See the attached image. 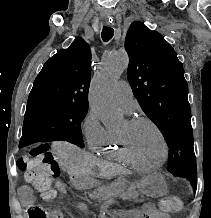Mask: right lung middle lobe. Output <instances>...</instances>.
Listing matches in <instances>:
<instances>
[{
    "instance_id": "1",
    "label": "right lung middle lobe",
    "mask_w": 211,
    "mask_h": 218,
    "mask_svg": "<svg viewBox=\"0 0 211 218\" xmlns=\"http://www.w3.org/2000/svg\"><path fill=\"white\" fill-rule=\"evenodd\" d=\"M88 105L58 102L27 104L24 116L23 137L33 141L67 140L84 146L81 121Z\"/></svg>"
}]
</instances>
